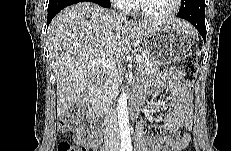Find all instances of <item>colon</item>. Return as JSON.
Listing matches in <instances>:
<instances>
[{"label": "colon", "instance_id": "1", "mask_svg": "<svg viewBox=\"0 0 231 151\" xmlns=\"http://www.w3.org/2000/svg\"><path fill=\"white\" fill-rule=\"evenodd\" d=\"M198 63L193 55L183 57L178 63L179 74L184 81L187 91H191V85L196 76ZM58 129L61 133L72 131L77 145L68 141H60L58 151H86L82 146L85 140L84 129L81 124V113L78 109L72 108L60 114Z\"/></svg>", "mask_w": 231, "mask_h": 151}]
</instances>
